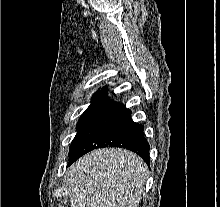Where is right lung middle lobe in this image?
<instances>
[{
    "label": "right lung middle lobe",
    "instance_id": "obj_1",
    "mask_svg": "<svg viewBox=\"0 0 220 207\" xmlns=\"http://www.w3.org/2000/svg\"><path fill=\"white\" fill-rule=\"evenodd\" d=\"M98 93H99V91L93 95L91 105L87 108V110H86V111L83 113V115L80 117V119H79V121H78V124H77V129H78V130H79V128L82 126V124L84 123V121H85V119H86V117H87V115H88V113H89V111H90V109H91V107H92L94 101L96 100V98H97V96H98Z\"/></svg>",
    "mask_w": 220,
    "mask_h": 207
}]
</instances>
